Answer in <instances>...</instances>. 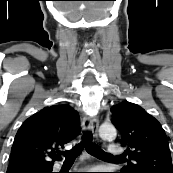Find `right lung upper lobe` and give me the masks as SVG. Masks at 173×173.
Instances as JSON below:
<instances>
[{"label":"right lung upper lobe","mask_w":173,"mask_h":173,"mask_svg":"<svg viewBox=\"0 0 173 173\" xmlns=\"http://www.w3.org/2000/svg\"><path fill=\"white\" fill-rule=\"evenodd\" d=\"M80 132L77 111L68 105L45 107L25 120L11 149L7 173L16 169L45 167L60 160L64 144Z\"/></svg>","instance_id":"right-lung-upper-lobe-1"}]
</instances>
